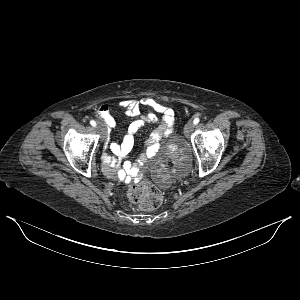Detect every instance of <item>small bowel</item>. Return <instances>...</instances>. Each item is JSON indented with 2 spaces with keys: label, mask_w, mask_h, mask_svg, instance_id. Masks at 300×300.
<instances>
[{
  "label": "small bowel",
  "mask_w": 300,
  "mask_h": 300,
  "mask_svg": "<svg viewBox=\"0 0 300 300\" xmlns=\"http://www.w3.org/2000/svg\"><path fill=\"white\" fill-rule=\"evenodd\" d=\"M118 106L127 115L135 117V119L129 124L127 133L121 143H108V148L117 158L104 154L103 170L107 176L113 179L122 177L129 179L136 175L138 167L146 164L157 155L161 140L172 132L174 112L151 97H144L139 100H122L118 103ZM142 107H147L151 111L141 114ZM96 115L104 122L107 134L116 127V121L107 104L99 106ZM148 123H156V127L151 132L143 153L133 164L122 162L121 160L133 149L135 135Z\"/></svg>",
  "instance_id": "1"
}]
</instances>
